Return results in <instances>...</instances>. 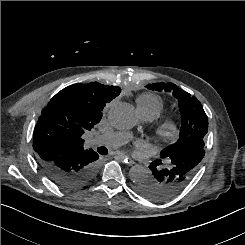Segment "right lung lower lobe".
<instances>
[{
	"instance_id": "98d812e1",
	"label": "right lung lower lobe",
	"mask_w": 245,
	"mask_h": 245,
	"mask_svg": "<svg viewBox=\"0 0 245 245\" xmlns=\"http://www.w3.org/2000/svg\"><path fill=\"white\" fill-rule=\"evenodd\" d=\"M98 158V154L90 149L67 152L51 162H38L50 180L72 190L86 185L95 177Z\"/></svg>"
}]
</instances>
